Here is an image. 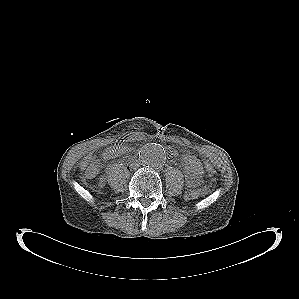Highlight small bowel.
Instances as JSON below:
<instances>
[{
	"label": "small bowel",
	"instance_id": "1",
	"mask_svg": "<svg viewBox=\"0 0 299 299\" xmlns=\"http://www.w3.org/2000/svg\"><path fill=\"white\" fill-rule=\"evenodd\" d=\"M131 151V148L120 146V145H114L108 147L104 151V158L106 159H114L116 157H119L123 154H126ZM202 178V174H196L188 169H185V179L186 183L189 187H196L199 185Z\"/></svg>",
	"mask_w": 299,
	"mask_h": 299
}]
</instances>
